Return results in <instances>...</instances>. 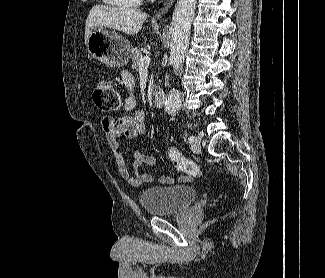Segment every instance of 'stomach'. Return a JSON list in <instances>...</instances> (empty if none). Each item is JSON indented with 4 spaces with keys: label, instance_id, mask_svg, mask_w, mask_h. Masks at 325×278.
Returning a JSON list of instances; mask_svg holds the SVG:
<instances>
[{
    "label": "stomach",
    "instance_id": "0dacf381",
    "mask_svg": "<svg viewBox=\"0 0 325 278\" xmlns=\"http://www.w3.org/2000/svg\"><path fill=\"white\" fill-rule=\"evenodd\" d=\"M86 48L91 57L110 67H121L128 63L129 40L104 28L92 31L86 43Z\"/></svg>",
    "mask_w": 325,
    "mask_h": 278
}]
</instances>
